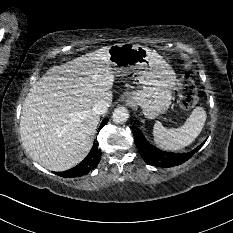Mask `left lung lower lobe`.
I'll list each match as a JSON object with an SVG mask.
<instances>
[{
    "instance_id": "0a47b994",
    "label": "left lung lower lobe",
    "mask_w": 233,
    "mask_h": 233,
    "mask_svg": "<svg viewBox=\"0 0 233 233\" xmlns=\"http://www.w3.org/2000/svg\"><path fill=\"white\" fill-rule=\"evenodd\" d=\"M134 135L135 144L141 154V157L144 159L145 162L157 166V167H173L176 165H180L183 162L187 161L189 158L193 156V154L198 151L205 141L199 145L195 150L185 153V154H175V153H168L157 149L156 147L150 145L145 137L132 129Z\"/></svg>"
}]
</instances>
